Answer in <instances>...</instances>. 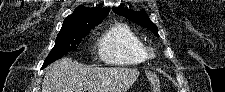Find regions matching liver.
<instances>
[{"label": "liver", "mask_w": 225, "mask_h": 92, "mask_svg": "<svg viewBox=\"0 0 225 92\" xmlns=\"http://www.w3.org/2000/svg\"><path fill=\"white\" fill-rule=\"evenodd\" d=\"M139 71L115 67H87L62 58L45 71L42 92H127Z\"/></svg>", "instance_id": "6515ba94"}]
</instances>
